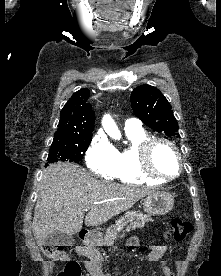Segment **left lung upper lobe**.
Masks as SVG:
<instances>
[{"label": "left lung upper lobe", "instance_id": "5c2ea615", "mask_svg": "<svg viewBox=\"0 0 221 276\" xmlns=\"http://www.w3.org/2000/svg\"><path fill=\"white\" fill-rule=\"evenodd\" d=\"M131 106L134 114L150 128L168 136H179L170 103L157 88L150 85L136 87L131 94Z\"/></svg>", "mask_w": 221, "mask_h": 276}]
</instances>
